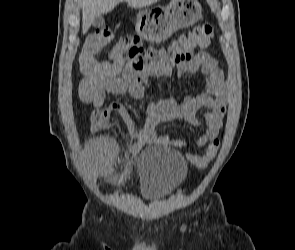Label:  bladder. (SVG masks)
<instances>
[{"label": "bladder", "mask_w": 295, "mask_h": 250, "mask_svg": "<svg viewBox=\"0 0 295 250\" xmlns=\"http://www.w3.org/2000/svg\"><path fill=\"white\" fill-rule=\"evenodd\" d=\"M141 173L140 191L148 201H159L173 192L187 174V162L178 151L154 147L142 151L137 159Z\"/></svg>", "instance_id": "31cf9c89"}]
</instances>
